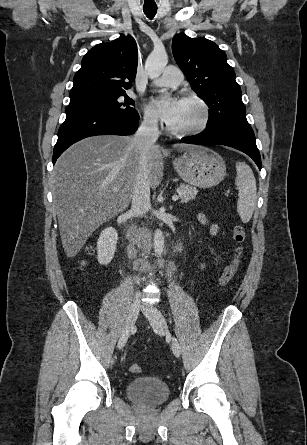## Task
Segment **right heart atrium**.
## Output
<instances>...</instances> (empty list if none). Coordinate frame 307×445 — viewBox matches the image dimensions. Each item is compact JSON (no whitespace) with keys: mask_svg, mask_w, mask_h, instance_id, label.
Segmentation results:
<instances>
[{"mask_svg":"<svg viewBox=\"0 0 307 445\" xmlns=\"http://www.w3.org/2000/svg\"><path fill=\"white\" fill-rule=\"evenodd\" d=\"M144 126L149 130H157L159 126V120L157 115L151 111L146 110L144 114Z\"/></svg>","mask_w":307,"mask_h":445,"instance_id":"d8ad5b80","label":"right heart atrium"}]
</instances>
